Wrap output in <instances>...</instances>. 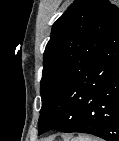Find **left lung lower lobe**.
Here are the masks:
<instances>
[{
  "label": "left lung lower lobe",
  "instance_id": "left-lung-lower-lobe-1",
  "mask_svg": "<svg viewBox=\"0 0 119 141\" xmlns=\"http://www.w3.org/2000/svg\"><path fill=\"white\" fill-rule=\"evenodd\" d=\"M38 126L39 134L55 129L119 141V15L83 72L41 113Z\"/></svg>",
  "mask_w": 119,
  "mask_h": 141
}]
</instances>
